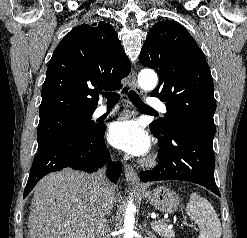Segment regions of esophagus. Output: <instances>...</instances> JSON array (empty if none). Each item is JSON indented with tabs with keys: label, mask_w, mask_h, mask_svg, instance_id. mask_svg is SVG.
Listing matches in <instances>:
<instances>
[{
	"label": "esophagus",
	"mask_w": 247,
	"mask_h": 238,
	"mask_svg": "<svg viewBox=\"0 0 247 238\" xmlns=\"http://www.w3.org/2000/svg\"><path fill=\"white\" fill-rule=\"evenodd\" d=\"M131 79H132V88H133V90L137 94L141 95L142 94V90L137 84L136 74H135L134 71H132ZM124 174H125V178H126L127 181L132 182L138 188H143L142 184L139 182V178H138L137 173L135 172L134 168L131 165L126 164L124 166Z\"/></svg>",
	"instance_id": "obj_1"
}]
</instances>
